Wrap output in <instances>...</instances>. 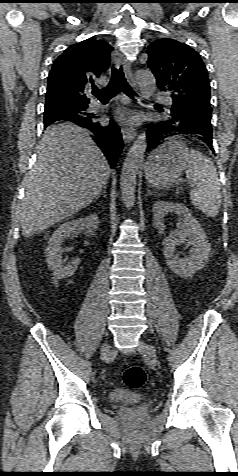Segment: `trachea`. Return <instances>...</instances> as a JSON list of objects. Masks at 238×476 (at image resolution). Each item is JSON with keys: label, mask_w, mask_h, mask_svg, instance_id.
I'll return each mask as SVG.
<instances>
[{"label": "trachea", "mask_w": 238, "mask_h": 476, "mask_svg": "<svg viewBox=\"0 0 238 476\" xmlns=\"http://www.w3.org/2000/svg\"><path fill=\"white\" fill-rule=\"evenodd\" d=\"M120 89L131 98H134V96H136V93L128 85L124 77L122 66H120L119 69L115 67L112 68L111 79L108 86L102 91H95L94 95L101 102H106L116 96Z\"/></svg>", "instance_id": "3493384b"}]
</instances>
